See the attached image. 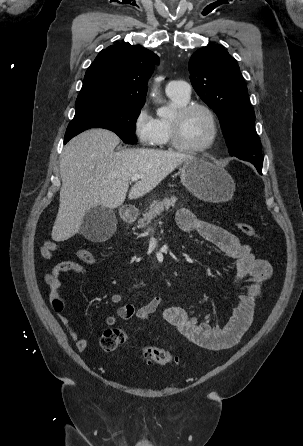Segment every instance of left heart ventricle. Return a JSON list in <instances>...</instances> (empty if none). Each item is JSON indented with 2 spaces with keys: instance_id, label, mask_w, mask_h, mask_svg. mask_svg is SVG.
Listing matches in <instances>:
<instances>
[{
  "instance_id": "b2bd125f",
  "label": "left heart ventricle",
  "mask_w": 303,
  "mask_h": 446,
  "mask_svg": "<svg viewBox=\"0 0 303 446\" xmlns=\"http://www.w3.org/2000/svg\"><path fill=\"white\" fill-rule=\"evenodd\" d=\"M211 135L208 116L201 110H194L181 122L180 139L191 147L203 145Z\"/></svg>"
}]
</instances>
